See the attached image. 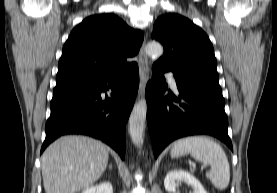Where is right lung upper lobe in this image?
<instances>
[{"mask_svg": "<svg viewBox=\"0 0 277 193\" xmlns=\"http://www.w3.org/2000/svg\"><path fill=\"white\" fill-rule=\"evenodd\" d=\"M144 35L114 14L92 15L77 25L63 46L56 86L108 76L134 64Z\"/></svg>", "mask_w": 277, "mask_h": 193, "instance_id": "1", "label": "right lung upper lobe"}]
</instances>
